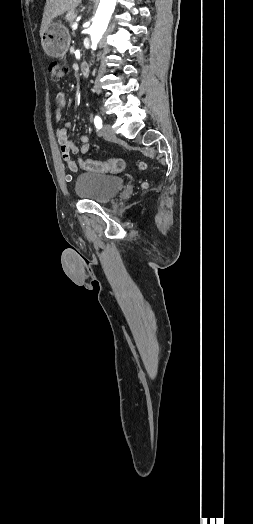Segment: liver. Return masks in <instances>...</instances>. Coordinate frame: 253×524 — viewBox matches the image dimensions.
Here are the masks:
<instances>
[{
    "label": "liver",
    "mask_w": 253,
    "mask_h": 524,
    "mask_svg": "<svg viewBox=\"0 0 253 524\" xmlns=\"http://www.w3.org/2000/svg\"><path fill=\"white\" fill-rule=\"evenodd\" d=\"M82 0H47L44 8L40 36L42 37L48 25L59 15L73 11Z\"/></svg>",
    "instance_id": "1"
}]
</instances>
